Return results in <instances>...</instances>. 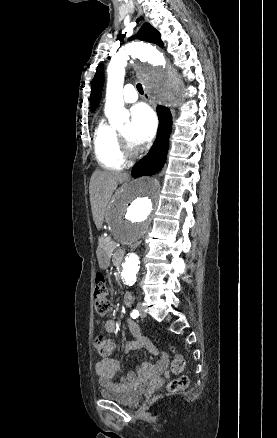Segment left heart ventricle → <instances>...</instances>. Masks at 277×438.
Listing matches in <instances>:
<instances>
[{
	"mask_svg": "<svg viewBox=\"0 0 277 438\" xmlns=\"http://www.w3.org/2000/svg\"><path fill=\"white\" fill-rule=\"evenodd\" d=\"M121 134H123L130 142V133H131V127H127L120 131Z\"/></svg>",
	"mask_w": 277,
	"mask_h": 438,
	"instance_id": "b2bd125f",
	"label": "left heart ventricle"
}]
</instances>
